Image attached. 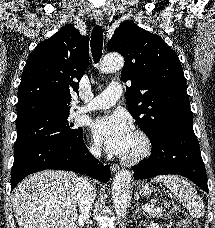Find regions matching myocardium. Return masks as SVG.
<instances>
[{"mask_svg":"<svg viewBox=\"0 0 215 228\" xmlns=\"http://www.w3.org/2000/svg\"><path fill=\"white\" fill-rule=\"evenodd\" d=\"M135 137L139 141V147L131 154L124 155L121 161L124 164H136L146 158L151 152V141L147 133L142 129H136L134 131Z\"/></svg>","mask_w":215,"mask_h":228,"instance_id":"obj_1","label":"myocardium"}]
</instances>
